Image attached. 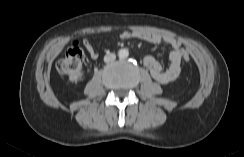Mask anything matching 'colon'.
Listing matches in <instances>:
<instances>
[{"mask_svg":"<svg viewBox=\"0 0 244 157\" xmlns=\"http://www.w3.org/2000/svg\"><path fill=\"white\" fill-rule=\"evenodd\" d=\"M182 59L185 62H189V53L184 51ZM83 64L84 54L81 48L74 44L68 48L65 56L57 62L56 68L60 75L66 77L71 82L78 83L82 81L85 75Z\"/></svg>","mask_w":244,"mask_h":157,"instance_id":"colon-1","label":"colon"}]
</instances>
